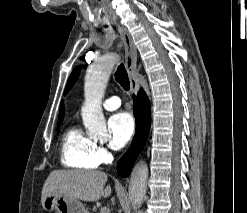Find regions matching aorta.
Masks as SVG:
<instances>
[{
    "mask_svg": "<svg viewBox=\"0 0 247 213\" xmlns=\"http://www.w3.org/2000/svg\"><path fill=\"white\" fill-rule=\"evenodd\" d=\"M115 61V54H107L97 63L91 65L85 76V102L81 109V115L83 124L92 137H97L107 131L101 103ZM147 178L148 166L146 163L140 162L133 169L129 183V194L133 204L138 207L145 199Z\"/></svg>",
    "mask_w": 247,
    "mask_h": 213,
    "instance_id": "obj_1",
    "label": "aorta"
}]
</instances>
